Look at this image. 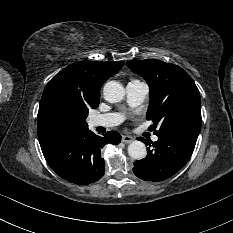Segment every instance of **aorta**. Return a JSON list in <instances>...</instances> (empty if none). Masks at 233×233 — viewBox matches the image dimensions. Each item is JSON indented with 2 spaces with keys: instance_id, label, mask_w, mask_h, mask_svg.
<instances>
[{
  "instance_id": "aorta-1",
  "label": "aorta",
  "mask_w": 233,
  "mask_h": 233,
  "mask_svg": "<svg viewBox=\"0 0 233 233\" xmlns=\"http://www.w3.org/2000/svg\"><path fill=\"white\" fill-rule=\"evenodd\" d=\"M104 98L110 103H117L125 96L124 87L117 81H109L104 85ZM128 154L132 159L141 160L146 154V146L141 141H133L128 146Z\"/></svg>"
}]
</instances>
